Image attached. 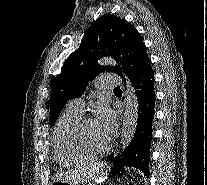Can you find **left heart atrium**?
<instances>
[{
  "mask_svg": "<svg viewBox=\"0 0 207 185\" xmlns=\"http://www.w3.org/2000/svg\"><path fill=\"white\" fill-rule=\"evenodd\" d=\"M93 121L96 126L109 137L115 135L117 130V119L114 112L109 107H99Z\"/></svg>",
  "mask_w": 207,
  "mask_h": 185,
  "instance_id": "39dd6f15",
  "label": "left heart atrium"
}]
</instances>
